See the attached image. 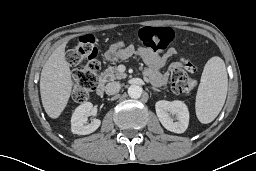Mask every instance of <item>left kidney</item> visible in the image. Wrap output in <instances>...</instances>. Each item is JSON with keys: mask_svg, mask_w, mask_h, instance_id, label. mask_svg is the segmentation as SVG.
Wrapping results in <instances>:
<instances>
[{"mask_svg": "<svg viewBox=\"0 0 256 171\" xmlns=\"http://www.w3.org/2000/svg\"><path fill=\"white\" fill-rule=\"evenodd\" d=\"M156 114L161 124L169 131L183 133L189 123V111L183 101L161 100L155 104Z\"/></svg>", "mask_w": 256, "mask_h": 171, "instance_id": "left-kidney-1", "label": "left kidney"}]
</instances>
